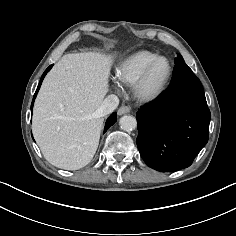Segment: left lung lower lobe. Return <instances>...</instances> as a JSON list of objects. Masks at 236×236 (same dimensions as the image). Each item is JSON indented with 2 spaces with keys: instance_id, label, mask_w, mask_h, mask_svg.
I'll return each instance as SVG.
<instances>
[{
  "instance_id": "0a47b994",
  "label": "left lung lower lobe",
  "mask_w": 236,
  "mask_h": 236,
  "mask_svg": "<svg viewBox=\"0 0 236 236\" xmlns=\"http://www.w3.org/2000/svg\"><path fill=\"white\" fill-rule=\"evenodd\" d=\"M210 111L189 66L175 65L169 88L137 112V146L145 163L173 172L190 166L208 141Z\"/></svg>"
}]
</instances>
